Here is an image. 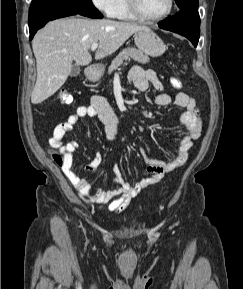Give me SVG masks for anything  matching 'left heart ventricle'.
I'll use <instances>...</instances> for the list:
<instances>
[{"label": "left heart ventricle", "mask_w": 243, "mask_h": 289, "mask_svg": "<svg viewBox=\"0 0 243 289\" xmlns=\"http://www.w3.org/2000/svg\"><path fill=\"white\" fill-rule=\"evenodd\" d=\"M142 11L148 16H158L167 11L169 0H140Z\"/></svg>", "instance_id": "b2bd125f"}]
</instances>
